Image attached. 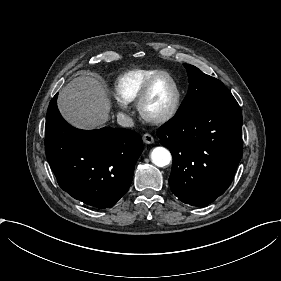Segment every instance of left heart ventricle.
Instances as JSON below:
<instances>
[{"label":"left heart ventricle","instance_id":"left-heart-ventricle-1","mask_svg":"<svg viewBox=\"0 0 281 281\" xmlns=\"http://www.w3.org/2000/svg\"><path fill=\"white\" fill-rule=\"evenodd\" d=\"M173 86L168 79L159 81L146 104V110L152 115L164 114L172 103Z\"/></svg>","mask_w":281,"mask_h":281}]
</instances>
